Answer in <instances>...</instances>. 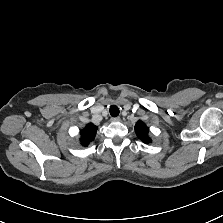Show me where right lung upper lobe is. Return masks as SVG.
<instances>
[{"label": "right lung upper lobe", "mask_w": 223, "mask_h": 223, "mask_svg": "<svg viewBox=\"0 0 223 223\" xmlns=\"http://www.w3.org/2000/svg\"><path fill=\"white\" fill-rule=\"evenodd\" d=\"M97 127L92 123H89L83 130H81V143L83 146H87L96 135Z\"/></svg>", "instance_id": "obj_1"}]
</instances>
